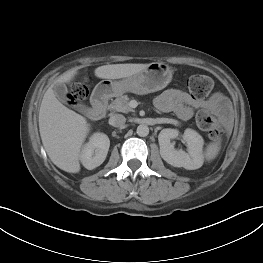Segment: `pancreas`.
I'll list each match as a JSON object with an SVG mask.
<instances>
[{"mask_svg":"<svg viewBox=\"0 0 263 263\" xmlns=\"http://www.w3.org/2000/svg\"><path fill=\"white\" fill-rule=\"evenodd\" d=\"M129 101L130 98L127 95L119 96L110 103L108 109L114 112H132L134 110L129 106Z\"/></svg>","mask_w":263,"mask_h":263,"instance_id":"1","label":"pancreas"}]
</instances>
